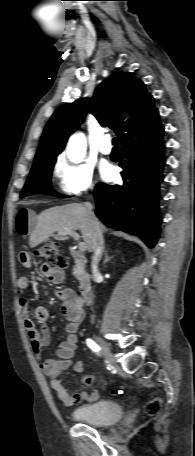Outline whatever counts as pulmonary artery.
Returning a JSON list of instances; mask_svg holds the SVG:
<instances>
[{
	"label": "pulmonary artery",
	"mask_w": 195,
	"mask_h": 456,
	"mask_svg": "<svg viewBox=\"0 0 195 456\" xmlns=\"http://www.w3.org/2000/svg\"><path fill=\"white\" fill-rule=\"evenodd\" d=\"M99 151L103 154V155H110L111 152H112V147H111V143H110V136L109 135H105L102 140H101V143L99 145Z\"/></svg>",
	"instance_id": "e3ab8cb5"
}]
</instances>
